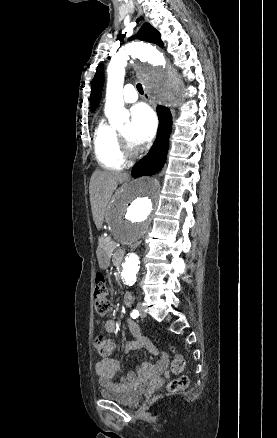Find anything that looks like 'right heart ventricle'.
Instances as JSON below:
<instances>
[{
  "instance_id": "right-heart-ventricle-1",
  "label": "right heart ventricle",
  "mask_w": 277,
  "mask_h": 438,
  "mask_svg": "<svg viewBox=\"0 0 277 438\" xmlns=\"http://www.w3.org/2000/svg\"><path fill=\"white\" fill-rule=\"evenodd\" d=\"M94 150L102 167L112 171H121L125 158L118 141L117 131L102 119L94 134Z\"/></svg>"
}]
</instances>
